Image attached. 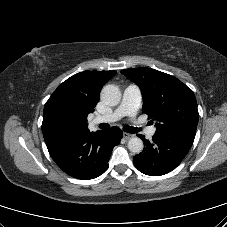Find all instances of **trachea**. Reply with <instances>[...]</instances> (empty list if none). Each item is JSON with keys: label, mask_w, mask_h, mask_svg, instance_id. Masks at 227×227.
Segmentation results:
<instances>
[{"label": "trachea", "mask_w": 227, "mask_h": 227, "mask_svg": "<svg viewBox=\"0 0 227 227\" xmlns=\"http://www.w3.org/2000/svg\"><path fill=\"white\" fill-rule=\"evenodd\" d=\"M101 127H102L103 129H107V128H109L110 126H109L108 124L103 123V124H101ZM123 130H124L125 132H128V133H137V132H139L141 129H139V128H137V127H132V126L125 125V126L123 127Z\"/></svg>", "instance_id": "obj_1"}]
</instances>
